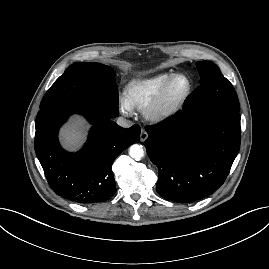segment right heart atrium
<instances>
[{
    "label": "right heart atrium",
    "mask_w": 269,
    "mask_h": 269,
    "mask_svg": "<svg viewBox=\"0 0 269 269\" xmlns=\"http://www.w3.org/2000/svg\"><path fill=\"white\" fill-rule=\"evenodd\" d=\"M119 108L121 112L126 115H130L132 113L131 106L127 103L126 99L123 97L119 99Z\"/></svg>",
    "instance_id": "obj_1"
}]
</instances>
